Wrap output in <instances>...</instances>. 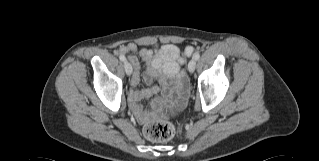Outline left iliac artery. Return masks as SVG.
<instances>
[{"label":"left iliac artery","mask_w":319,"mask_h":161,"mask_svg":"<svg viewBox=\"0 0 319 161\" xmlns=\"http://www.w3.org/2000/svg\"><path fill=\"white\" fill-rule=\"evenodd\" d=\"M193 58H194L195 60H198V59L200 58V54H199V53H195Z\"/></svg>","instance_id":"1"}]
</instances>
